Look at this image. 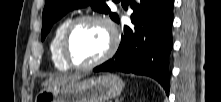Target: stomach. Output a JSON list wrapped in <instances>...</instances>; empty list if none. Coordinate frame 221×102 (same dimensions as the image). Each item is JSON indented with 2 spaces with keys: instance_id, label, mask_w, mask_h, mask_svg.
<instances>
[{
  "instance_id": "stomach-1",
  "label": "stomach",
  "mask_w": 221,
  "mask_h": 102,
  "mask_svg": "<svg viewBox=\"0 0 221 102\" xmlns=\"http://www.w3.org/2000/svg\"><path fill=\"white\" fill-rule=\"evenodd\" d=\"M124 87L122 79L105 74L83 81H71L41 90L35 102H105L118 96Z\"/></svg>"
}]
</instances>
